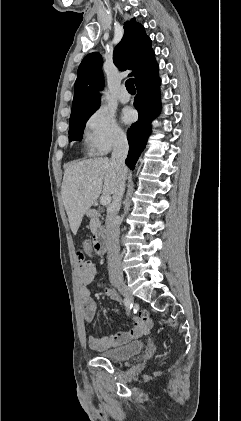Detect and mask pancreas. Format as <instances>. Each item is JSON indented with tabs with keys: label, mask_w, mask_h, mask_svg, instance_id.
<instances>
[{
	"label": "pancreas",
	"mask_w": 241,
	"mask_h": 421,
	"mask_svg": "<svg viewBox=\"0 0 241 421\" xmlns=\"http://www.w3.org/2000/svg\"><path fill=\"white\" fill-rule=\"evenodd\" d=\"M100 228H101V222L98 220V218H95V217L92 218L90 221L91 232L93 234H96Z\"/></svg>",
	"instance_id": "pancreas-1"
}]
</instances>
